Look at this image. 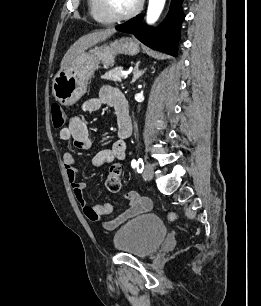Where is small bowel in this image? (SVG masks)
<instances>
[{"label":"small bowel","instance_id":"obj_1","mask_svg":"<svg viewBox=\"0 0 261 306\" xmlns=\"http://www.w3.org/2000/svg\"><path fill=\"white\" fill-rule=\"evenodd\" d=\"M102 105H108L114 109L118 128V139L114 142L112 148L101 150L95 154L92 159V165L96 168L106 163H112L115 160H124L127 151L126 140L132 132L128 105L125 97L118 89L111 86H104L101 88L97 98L90 99L84 104V110L89 112L96 111ZM59 136L60 139L65 141L72 140L74 147L77 149L87 150L92 145L89 129L79 117H72L68 126L60 130ZM76 163L73 153H64L63 164L73 195L76 201L82 206L83 212L89 220L101 222L104 229L113 230L125 221L151 209L152 203L150 199L132 191L126 194L129 207L117 217L103 221L104 217L112 213L113 207L109 203L94 206L86 203L84 198L85 184L77 181Z\"/></svg>","mask_w":261,"mask_h":306}]
</instances>
